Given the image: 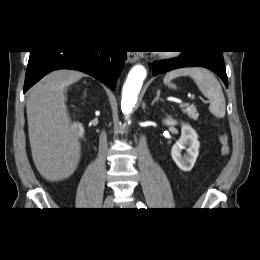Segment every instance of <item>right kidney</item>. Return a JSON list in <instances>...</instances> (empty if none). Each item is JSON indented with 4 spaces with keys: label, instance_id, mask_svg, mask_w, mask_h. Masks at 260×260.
Masks as SVG:
<instances>
[{
    "label": "right kidney",
    "instance_id": "1",
    "mask_svg": "<svg viewBox=\"0 0 260 260\" xmlns=\"http://www.w3.org/2000/svg\"><path fill=\"white\" fill-rule=\"evenodd\" d=\"M72 130L76 133V135L82 137L84 135V128L82 126V124L80 123H75L72 126Z\"/></svg>",
    "mask_w": 260,
    "mask_h": 260
}]
</instances>
